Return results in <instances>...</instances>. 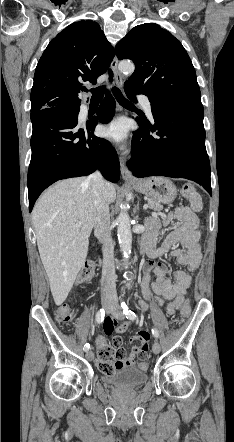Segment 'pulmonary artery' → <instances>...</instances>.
I'll return each mask as SVG.
<instances>
[{
  "instance_id": "pulmonary-artery-1",
  "label": "pulmonary artery",
  "mask_w": 234,
  "mask_h": 442,
  "mask_svg": "<svg viewBox=\"0 0 234 442\" xmlns=\"http://www.w3.org/2000/svg\"><path fill=\"white\" fill-rule=\"evenodd\" d=\"M139 100L146 114L152 118V109L149 99L145 96H141Z\"/></svg>"
}]
</instances>
